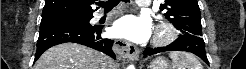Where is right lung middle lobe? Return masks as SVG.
<instances>
[{"label":"right lung middle lobe","instance_id":"dd1d6c3e","mask_svg":"<svg viewBox=\"0 0 246 69\" xmlns=\"http://www.w3.org/2000/svg\"><path fill=\"white\" fill-rule=\"evenodd\" d=\"M91 18L92 14H60L42 17L41 23L56 21L89 23Z\"/></svg>","mask_w":246,"mask_h":69}]
</instances>
